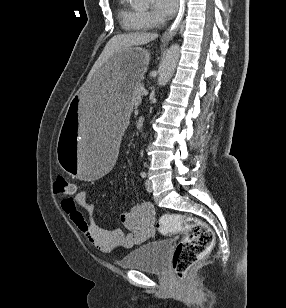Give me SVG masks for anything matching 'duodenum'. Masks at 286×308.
Instances as JSON below:
<instances>
[{
  "label": "duodenum",
  "instance_id": "410a0bca",
  "mask_svg": "<svg viewBox=\"0 0 286 308\" xmlns=\"http://www.w3.org/2000/svg\"><path fill=\"white\" fill-rule=\"evenodd\" d=\"M142 127H143V120L138 119L137 122H136V128L141 129Z\"/></svg>",
  "mask_w": 286,
  "mask_h": 308
}]
</instances>
